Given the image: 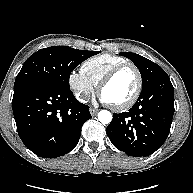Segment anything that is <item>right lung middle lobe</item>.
I'll use <instances>...</instances> for the list:
<instances>
[{"mask_svg": "<svg viewBox=\"0 0 193 193\" xmlns=\"http://www.w3.org/2000/svg\"><path fill=\"white\" fill-rule=\"evenodd\" d=\"M99 51L77 50L52 46L31 55L16 77L14 89L36 82L50 83L70 89L69 77L73 69Z\"/></svg>", "mask_w": 193, "mask_h": 193, "instance_id": "1", "label": "right lung middle lobe"}]
</instances>
